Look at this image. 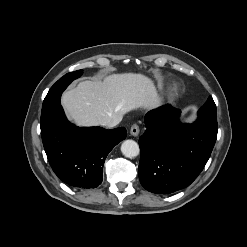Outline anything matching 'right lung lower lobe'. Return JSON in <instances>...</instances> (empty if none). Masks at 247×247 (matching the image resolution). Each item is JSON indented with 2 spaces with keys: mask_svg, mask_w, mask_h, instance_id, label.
Segmentation results:
<instances>
[{
  "mask_svg": "<svg viewBox=\"0 0 247 247\" xmlns=\"http://www.w3.org/2000/svg\"><path fill=\"white\" fill-rule=\"evenodd\" d=\"M41 136L48 161L65 183L94 188L102 182L108 153L126 138L124 127H77L64 114L60 100L42 109Z\"/></svg>",
  "mask_w": 247,
  "mask_h": 247,
  "instance_id": "98d812e1",
  "label": "right lung lower lobe"
}]
</instances>
